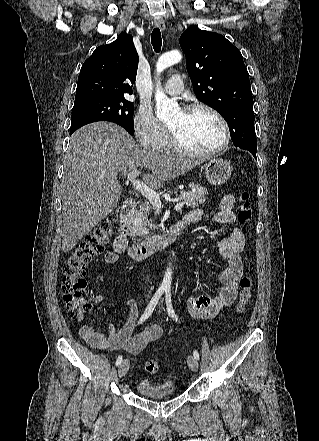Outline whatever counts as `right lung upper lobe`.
<instances>
[{
	"instance_id": "obj_1",
	"label": "right lung upper lobe",
	"mask_w": 319,
	"mask_h": 441,
	"mask_svg": "<svg viewBox=\"0 0 319 441\" xmlns=\"http://www.w3.org/2000/svg\"><path fill=\"white\" fill-rule=\"evenodd\" d=\"M138 54L133 37L121 33L109 45L95 49L81 67L75 99L87 97H124L132 94L136 80Z\"/></svg>"
}]
</instances>
